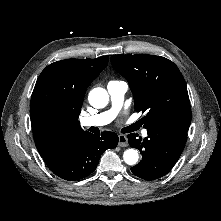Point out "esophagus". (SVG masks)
Returning a JSON list of instances; mask_svg holds the SVG:
<instances>
[{
  "mask_svg": "<svg viewBox=\"0 0 221 221\" xmlns=\"http://www.w3.org/2000/svg\"><path fill=\"white\" fill-rule=\"evenodd\" d=\"M118 139H119V146L121 147H127L128 146V140H127V137L123 134H120L118 136Z\"/></svg>",
  "mask_w": 221,
  "mask_h": 221,
  "instance_id": "esophagus-1",
  "label": "esophagus"
}]
</instances>
